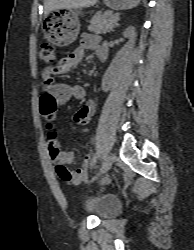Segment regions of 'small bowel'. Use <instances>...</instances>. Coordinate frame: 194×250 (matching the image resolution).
<instances>
[{
  "label": "small bowel",
  "mask_w": 194,
  "mask_h": 250,
  "mask_svg": "<svg viewBox=\"0 0 194 250\" xmlns=\"http://www.w3.org/2000/svg\"><path fill=\"white\" fill-rule=\"evenodd\" d=\"M89 50H94L100 60L102 55L106 56V50L100 45L99 38L96 35L85 33L81 36L78 47L71 54L61 59L56 66L52 68H45L43 70V86L46 91L53 95L59 104H65L71 98L78 100L83 99L85 97V89L83 86L78 84L53 85L49 82V78L53 73H66L77 69L81 64L85 53ZM95 111L96 103L93 100H89L75 113L74 120L80 125H87L90 123ZM55 117L56 114L53 117H44L48 123V148L51 159L56 165V168L59 166L66 168L67 165H70L73 162V153L60 150L57 141V134L53 129V121L55 120ZM90 161L91 156L86 154L83 157L81 166L73 172L69 171V179L62 177L60 174L59 175L63 180L73 184L82 183L87 180Z\"/></svg>",
  "instance_id": "1"
}]
</instances>
